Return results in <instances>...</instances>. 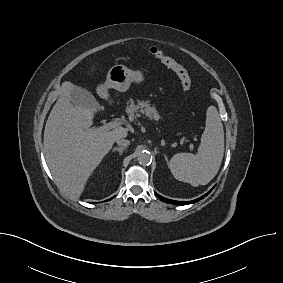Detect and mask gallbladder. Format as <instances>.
Wrapping results in <instances>:
<instances>
[{
  "instance_id": "bac80fb5",
  "label": "gallbladder",
  "mask_w": 283,
  "mask_h": 283,
  "mask_svg": "<svg viewBox=\"0 0 283 283\" xmlns=\"http://www.w3.org/2000/svg\"><path fill=\"white\" fill-rule=\"evenodd\" d=\"M71 103L75 107H92L96 105L92 94L87 90L76 87L71 93Z\"/></svg>"
}]
</instances>
